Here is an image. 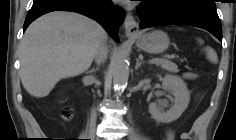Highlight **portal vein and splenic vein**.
I'll return each mask as SVG.
<instances>
[{"instance_id": "obj_1", "label": "portal vein and splenic vein", "mask_w": 236, "mask_h": 140, "mask_svg": "<svg viewBox=\"0 0 236 140\" xmlns=\"http://www.w3.org/2000/svg\"><path fill=\"white\" fill-rule=\"evenodd\" d=\"M168 58H170V57H168ZM162 60H165V59H162V58H153V59H151V60L149 61V63H158V62H160V61H162Z\"/></svg>"}]
</instances>
